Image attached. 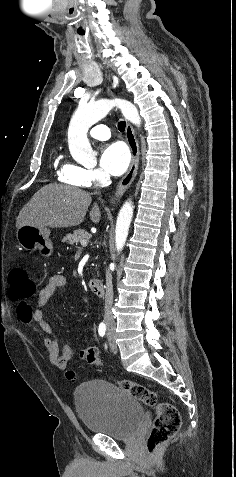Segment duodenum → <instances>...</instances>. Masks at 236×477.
<instances>
[{
  "mask_svg": "<svg viewBox=\"0 0 236 477\" xmlns=\"http://www.w3.org/2000/svg\"><path fill=\"white\" fill-rule=\"evenodd\" d=\"M90 290L97 296H103L105 293L104 283L99 278H91L89 281Z\"/></svg>",
  "mask_w": 236,
  "mask_h": 477,
  "instance_id": "1",
  "label": "duodenum"
}]
</instances>
